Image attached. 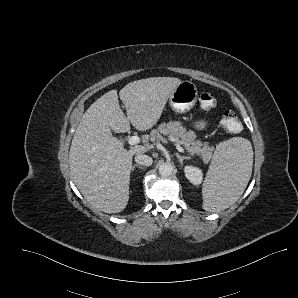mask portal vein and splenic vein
Here are the masks:
<instances>
[{
	"mask_svg": "<svg viewBox=\"0 0 298 298\" xmlns=\"http://www.w3.org/2000/svg\"><path fill=\"white\" fill-rule=\"evenodd\" d=\"M128 143L130 145H136V144H139L140 143V138L139 136L135 135V136H131L129 139H128ZM175 147H176V150L178 152H181L183 153L185 150L184 148L179 144V143H176L175 144Z\"/></svg>",
	"mask_w": 298,
	"mask_h": 298,
	"instance_id": "1",
	"label": "portal vein and splenic vein"
}]
</instances>
